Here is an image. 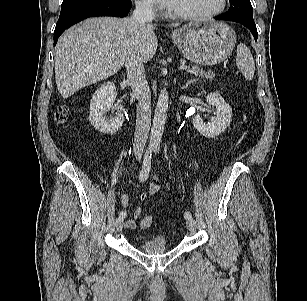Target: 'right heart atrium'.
<instances>
[{
    "label": "right heart atrium",
    "mask_w": 307,
    "mask_h": 301,
    "mask_svg": "<svg viewBox=\"0 0 307 301\" xmlns=\"http://www.w3.org/2000/svg\"><path fill=\"white\" fill-rule=\"evenodd\" d=\"M137 8L147 14H154L157 10L154 0H136Z\"/></svg>",
    "instance_id": "d8ad5b80"
}]
</instances>
